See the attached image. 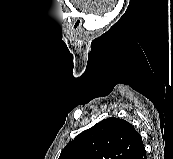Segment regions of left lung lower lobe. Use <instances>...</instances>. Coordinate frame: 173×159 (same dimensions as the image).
<instances>
[{
  "label": "left lung lower lobe",
  "instance_id": "left-lung-lower-lobe-1",
  "mask_svg": "<svg viewBox=\"0 0 173 159\" xmlns=\"http://www.w3.org/2000/svg\"><path fill=\"white\" fill-rule=\"evenodd\" d=\"M132 159H147L144 145L138 150V152L133 156Z\"/></svg>",
  "mask_w": 173,
  "mask_h": 159
}]
</instances>
